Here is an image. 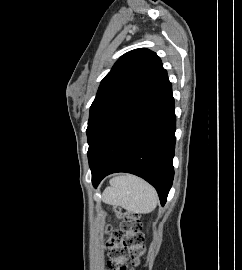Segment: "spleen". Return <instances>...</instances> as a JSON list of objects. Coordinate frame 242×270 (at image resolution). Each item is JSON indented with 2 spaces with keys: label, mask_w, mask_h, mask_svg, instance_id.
Listing matches in <instances>:
<instances>
[{
  "label": "spleen",
  "mask_w": 242,
  "mask_h": 270,
  "mask_svg": "<svg viewBox=\"0 0 242 270\" xmlns=\"http://www.w3.org/2000/svg\"><path fill=\"white\" fill-rule=\"evenodd\" d=\"M103 201L110 205L121 206L132 213H148L156 208V190L143 179L133 175H122L105 189Z\"/></svg>",
  "instance_id": "3e777b00"
}]
</instances>
